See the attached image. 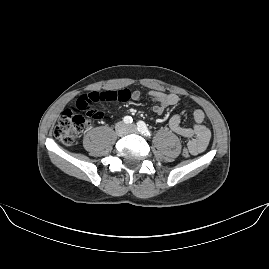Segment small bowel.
Instances as JSON below:
<instances>
[{
    "instance_id": "small-bowel-1",
    "label": "small bowel",
    "mask_w": 269,
    "mask_h": 269,
    "mask_svg": "<svg viewBox=\"0 0 269 269\" xmlns=\"http://www.w3.org/2000/svg\"><path fill=\"white\" fill-rule=\"evenodd\" d=\"M147 95L153 102L152 111L155 114H162L167 107L174 106L179 102V97L174 93L150 91ZM142 98L143 95L139 91H133L130 93L129 99L139 101ZM204 119V112L197 109L193 112L194 125L192 127L182 126V116L180 114H173L168 121V126L173 132L183 138L190 139L188 149L194 156L203 153L210 142L211 132L204 125Z\"/></svg>"
}]
</instances>
